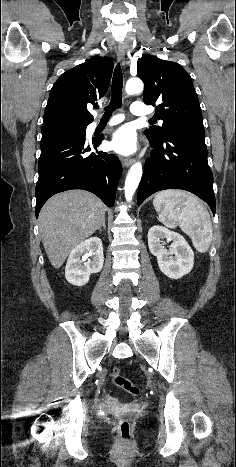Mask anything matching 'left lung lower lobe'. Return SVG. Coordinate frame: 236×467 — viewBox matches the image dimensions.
Listing matches in <instances>:
<instances>
[{"label": "left lung lower lobe", "instance_id": "left-lung-lower-lobe-1", "mask_svg": "<svg viewBox=\"0 0 236 467\" xmlns=\"http://www.w3.org/2000/svg\"><path fill=\"white\" fill-rule=\"evenodd\" d=\"M149 140L153 151L145 163L138 205L157 191L183 189L204 200L215 214L213 175L207 161L204 128L177 129L162 141Z\"/></svg>", "mask_w": 236, "mask_h": 467}]
</instances>
